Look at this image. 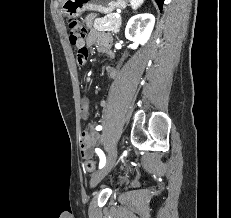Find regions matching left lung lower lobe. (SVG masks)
I'll return each mask as SVG.
<instances>
[{
    "instance_id": "left-lung-lower-lobe-1",
    "label": "left lung lower lobe",
    "mask_w": 231,
    "mask_h": 218,
    "mask_svg": "<svg viewBox=\"0 0 231 218\" xmlns=\"http://www.w3.org/2000/svg\"><path fill=\"white\" fill-rule=\"evenodd\" d=\"M155 1H156L157 5H158L159 9L161 10L164 0H155Z\"/></svg>"
}]
</instances>
